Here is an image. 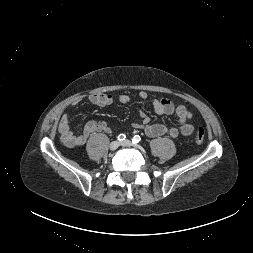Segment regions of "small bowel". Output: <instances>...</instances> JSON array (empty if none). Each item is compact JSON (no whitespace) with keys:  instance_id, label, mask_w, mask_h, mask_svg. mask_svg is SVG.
Segmentation results:
<instances>
[{"instance_id":"1","label":"small bowel","mask_w":253,"mask_h":253,"mask_svg":"<svg viewBox=\"0 0 253 253\" xmlns=\"http://www.w3.org/2000/svg\"><path fill=\"white\" fill-rule=\"evenodd\" d=\"M138 97L141 100L150 99L157 114L174 115L178 119L179 123L178 126H166L158 123L151 124L149 117L144 112H140L139 120L134 122L133 126L135 128L142 129L147 136L159 137L167 135L172 138H176L180 135L183 137H189L193 133V115L184 105H175L172 101L166 98H149V95L143 91L139 93ZM88 100L93 105L106 107L113 102V97L107 93H93L89 96ZM119 101L125 104L131 101V97L129 95L122 94L119 96ZM79 102V99H75L72 102V106H77ZM58 130L62 143L69 148H75L84 145L87 139L97 132H111V128L106 122L91 120L84 124L80 134H74L71 131L70 116L67 113L61 117Z\"/></svg>"}]
</instances>
